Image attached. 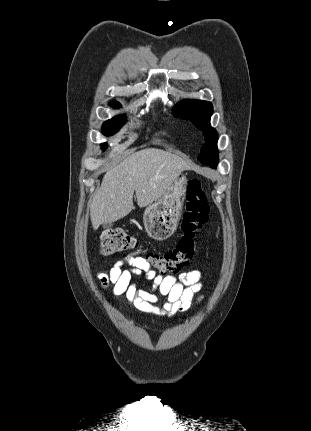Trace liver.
I'll use <instances>...</instances> for the list:
<instances>
[{"label": "liver", "instance_id": "1", "mask_svg": "<svg viewBox=\"0 0 311 431\" xmlns=\"http://www.w3.org/2000/svg\"><path fill=\"white\" fill-rule=\"evenodd\" d=\"M184 170L191 168L182 158L156 148L134 152L118 166H111L91 202L93 229L128 216L135 210L134 194L139 208L158 202Z\"/></svg>", "mask_w": 311, "mask_h": 431}]
</instances>
